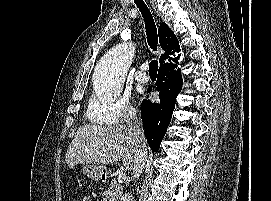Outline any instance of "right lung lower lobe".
<instances>
[{"mask_svg": "<svg viewBox=\"0 0 271 201\" xmlns=\"http://www.w3.org/2000/svg\"><path fill=\"white\" fill-rule=\"evenodd\" d=\"M178 60L179 58L159 67L156 89L159 91L160 102L152 103L143 100L141 103V117L147 142L152 152L159 150L160 143L171 121L176 97L182 88V76ZM150 91L151 89L148 90V92Z\"/></svg>", "mask_w": 271, "mask_h": 201, "instance_id": "obj_1", "label": "right lung lower lobe"}]
</instances>
